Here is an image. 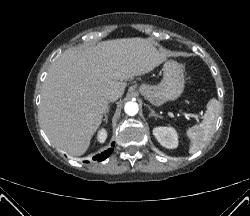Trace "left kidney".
I'll use <instances>...</instances> for the list:
<instances>
[{
  "label": "left kidney",
  "mask_w": 250,
  "mask_h": 216,
  "mask_svg": "<svg viewBox=\"0 0 250 216\" xmlns=\"http://www.w3.org/2000/svg\"><path fill=\"white\" fill-rule=\"evenodd\" d=\"M153 135L165 148L174 149L178 146V135L172 127H156L153 129Z\"/></svg>",
  "instance_id": "5707ae66"
}]
</instances>
